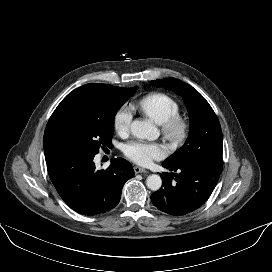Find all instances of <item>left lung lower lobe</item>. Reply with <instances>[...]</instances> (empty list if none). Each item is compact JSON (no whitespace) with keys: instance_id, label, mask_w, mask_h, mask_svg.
I'll list each match as a JSON object with an SVG mask.
<instances>
[{"instance_id":"0a47b994","label":"left lung lower lobe","mask_w":272,"mask_h":272,"mask_svg":"<svg viewBox=\"0 0 272 272\" xmlns=\"http://www.w3.org/2000/svg\"><path fill=\"white\" fill-rule=\"evenodd\" d=\"M162 165L173 173L161 174L162 187L151 195V200L159 210L174 216L185 215L201 207L221 174L189 162L173 165L163 162Z\"/></svg>"}]
</instances>
